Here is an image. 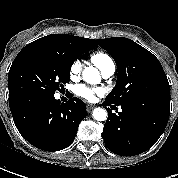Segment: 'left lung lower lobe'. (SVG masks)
Instances as JSON below:
<instances>
[{
  "label": "left lung lower lobe",
  "mask_w": 178,
  "mask_h": 178,
  "mask_svg": "<svg viewBox=\"0 0 178 178\" xmlns=\"http://www.w3.org/2000/svg\"><path fill=\"white\" fill-rule=\"evenodd\" d=\"M112 103L105 100L103 106ZM122 112L112 113L103 129L107 148L115 154L134 156L152 147L163 133L169 114L132 104L121 105Z\"/></svg>",
  "instance_id": "left-lung-lower-lobe-1"
}]
</instances>
